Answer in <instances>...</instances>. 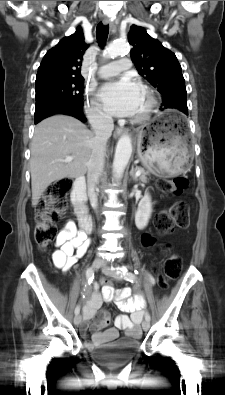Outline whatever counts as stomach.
Masks as SVG:
<instances>
[{"instance_id":"stomach-1","label":"stomach","mask_w":225,"mask_h":395,"mask_svg":"<svg viewBox=\"0 0 225 395\" xmlns=\"http://www.w3.org/2000/svg\"><path fill=\"white\" fill-rule=\"evenodd\" d=\"M137 153L153 174L176 176L183 173L192 158L189 136L183 132L182 118L166 110L144 124L137 138Z\"/></svg>"}]
</instances>
